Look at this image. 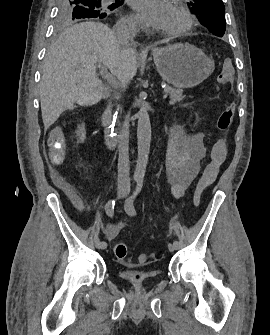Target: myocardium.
<instances>
[{"label":"myocardium","instance_id":"myocardium-1","mask_svg":"<svg viewBox=\"0 0 270 335\" xmlns=\"http://www.w3.org/2000/svg\"><path fill=\"white\" fill-rule=\"evenodd\" d=\"M177 14L181 17L183 23L178 29H176V33L185 34L189 32L194 25V22H195L194 17L183 8H179L177 10Z\"/></svg>","mask_w":270,"mask_h":335}]
</instances>
